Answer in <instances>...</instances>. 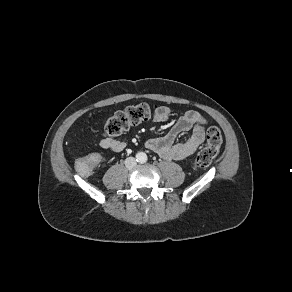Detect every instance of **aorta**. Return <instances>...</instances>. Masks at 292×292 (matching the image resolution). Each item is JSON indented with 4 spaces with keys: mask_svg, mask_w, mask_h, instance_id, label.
<instances>
[{
    "mask_svg": "<svg viewBox=\"0 0 292 292\" xmlns=\"http://www.w3.org/2000/svg\"><path fill=\"white\" fill-rule=\"evenodd\" d=\"M137 158H138V160H139L140 162H142V161H145V160H146L147 156H146V154H145L144 152H139V153L137 154Z\"/></svg>",
    "mask_w": 292,
    "mask_h": 292,
    "instance_id": "obj_1",
    "label": "aorta"
}]
</instances>
